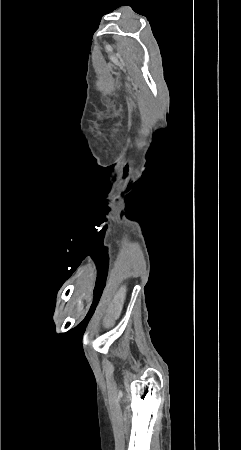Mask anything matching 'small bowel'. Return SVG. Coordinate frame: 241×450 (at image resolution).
Wrapping results in <instances>:
<instances>
[{
    "mask_svg": "<svg viewBox=\"0 0 241 450\" xmlns=\"http://www.w3.org/2000/svg\"><path fill=\"white\" fill-rule=\"evenodd\" d=\"M104 305L107 307L109 304L106 302ZM110 305L115 307L117 304L112 302ZM98 317L100 319H124L126 317V312L124 310H113L110 307L108 310H100L98 312Z\"/></svg>",
    "mask_w": 241,
    "mask_h": 450,
    "instance_id": "small-bowel-1",
    "label": "small bowel"
}]
</instances>
